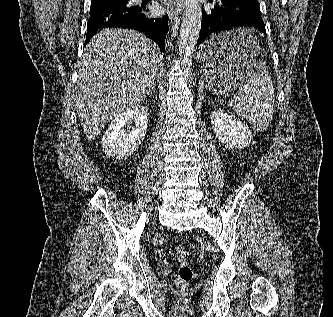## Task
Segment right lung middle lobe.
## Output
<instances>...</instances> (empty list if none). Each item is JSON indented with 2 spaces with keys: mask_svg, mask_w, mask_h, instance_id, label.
I'll list each match as a JSON object with an SVG mask.
<instances>
[{
  "mask_svg": "<svg viewBox=\"0 0 333 317\" xmlns=\"http://www.w3.org/2000/svg\"><path fill=\"white\" fill-rule=\"evenodd\" d=\"M128 0H92L91 2V8H97L102 6H108V5H126Z\"/></svg>",
  "mask_w": 333,
  "mask_h": 317,
  "instance_id": "dd1d6c3e",
  "label": "right lung middle lobe"
}]
</instances>
